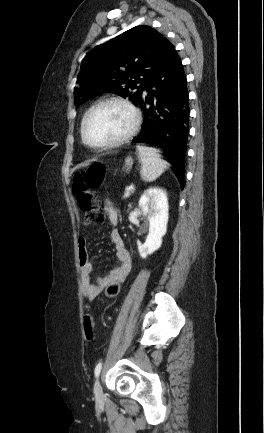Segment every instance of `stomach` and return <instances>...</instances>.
I'll return each instance as SVG.
<instances>
[{
    "label": "stomach",
    "instance_id": "obj_1",
    "mask_svg": "<svg viewBox=\"0 0 264 433\" xmlns=\"http://www.w3.org/2000/svg\"><path fill=\"white\" fill-rule=\"evenodd\" d=\"M132 165H133V159H132V157L131 156H127L126 159H125L124 169L126 171H129L131 169Z\"/></svg>",
    "mask_w": 264,
    "mask_h": 433
}]
</instances>
